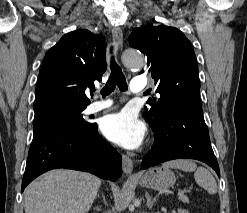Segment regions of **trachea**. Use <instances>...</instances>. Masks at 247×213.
Masks as SVG:
<instances>
[{
	"mask_svg": "<svg viewBox=\"0 0 247 213\" xmlns=\"http://www.w3.org/2000/svg\"><path fill=\"white\" fill-rule=\"evenodd\" d=\"M110 69L111 73L109 79L106 82L104 88L101 90V94L103 97L111 94L115 90L116 86H118L121 92H125L128 89L126 78L122 73L119 65L115 62L114 57L111 58ZM92 91H95V89H93Z\"/></svg>",
	"mask_w": 247,
	"mask_h": 213,
	"instance_id": "1",
	"label": "trachea"
}]
</instances>
